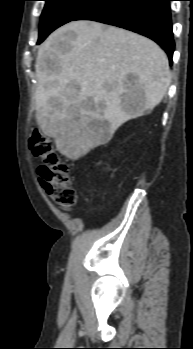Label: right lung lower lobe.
Returning <instances> with one entry per match:
<instances>
[{
  "instance_id": "98d812e1",
  "label": "right lung lower lobe",
  "mask_w": 193,
  "mask_h": 349,
  "mask_svg": "<svg viewBox=\"0 0 193 349\" xmlns=\"http://www.w3.org/2000/svg\"><path fill=\"white\" fill-rule=\"evenodd\" d=\"M171 0H97L73 20H92L118 26L158 43L172 64L174 40Z\"/></svg>"
}]
</instances>
